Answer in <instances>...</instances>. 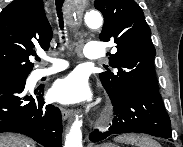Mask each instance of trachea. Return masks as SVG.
I'll use <instances>...</instances> for the list:
<instances>
[{"mask_svg":"<svg viewBox=\"0 0 183 147\" xmlns=\"http://www.w3.org/2000/svg\"><path fill=\"white\" fill-rule=\"evenodd\" d=\"M64 1L63 0H56L55 4H56V9H57V14H58V18H59V25L61 30L63 31L64 29V22H63V16H62V5H63ZM64 39V36L62 37ZM37 61H40V58H36Z\"/></svg>","mask_w":183,"mask_h":147,"instance_id":"3493384b","label":"trachea"}]
</instances>
